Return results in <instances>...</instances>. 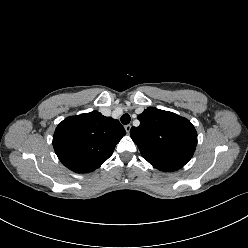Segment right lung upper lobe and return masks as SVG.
I'll return each instance as SVG.
<instances>
[{"mask_svg":"<svg viewBox=\"0 0 248 248\" xmlns=\"http://www.w3.org/2000/svg\"><path fill=\"white\" fill-rule=\"evenodd\" d=\"M126 134L118 120L97 111L71 116L58 124L53 147L60 161L76 173L100 167Z\"/></svg>","mask_w":248,"mask_h":248,"instance_id":"right-lung-upper-lobe-1","label":"right lung upper lobe"}]
</instances>
